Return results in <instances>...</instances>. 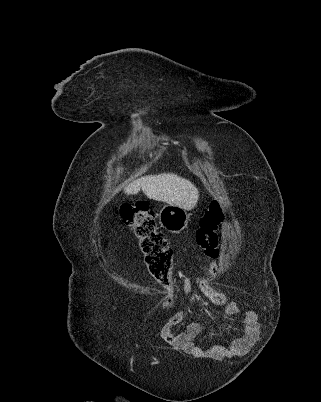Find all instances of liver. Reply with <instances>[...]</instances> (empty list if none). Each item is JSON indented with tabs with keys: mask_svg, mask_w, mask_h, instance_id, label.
I'll return each mask as SVG.
<instances>
[{
	"mask_svg": "<svg viewBox=\"0 0 321 402\" xmlns=\"http://www.w3.org/2000/svg\"><path fill=\"white\" fill-rule=\"evenodd\" d=\"M141 189L149 199L177 205L185 210L193 209L199 198L198 189L189 180L173 173L141 177L126 186L124 192L134 195Z\"/></svg>",
	"mask_w": 321,
	"mask_h": 402,
	"instance_id": "liver-1",
	"label": "liver"
}]
</instances>
